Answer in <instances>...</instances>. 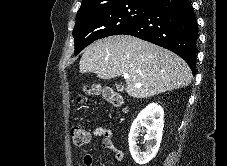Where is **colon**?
Returning a JSON list of instances; mask_svg holds the SVG:
<instances>
[{
	"label": "colon",
	"instance_id": "obj_1",
	"mask_svg": "<svg viewBox=\"0 0 227 166\" xmlns=\"http://www.w3.org/2000/svg\"><path fill=\"white\" fill-rule=\"evenodd\" d=\"M85 92L87 94L93 93L101 96L102 99H104L106 102H108L111 106L115 108L122 109L124 107V97L110 87L92 85L89 86ZM77 101L79 104H83V96H79ZM71 138L73 144L76 146L87 145L91 141V135L88 129L83 124H75L72 126Z\"/></svg>",
	"mask_w": 227,
	"mask_h": 166
}]
</instances>
